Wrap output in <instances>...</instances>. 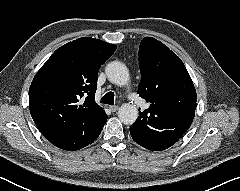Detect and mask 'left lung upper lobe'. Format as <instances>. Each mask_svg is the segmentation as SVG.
Wrapping results in <instances>:
<instances>
[{
	"instance_id": "1",
	"label": "left lung upper lobe",
	"mask_w": 240,
	"mask_h": 191,
	"mask_svg": "<svg viewBox=\"0 0 240 191\" xmlns=\"http://www.w3.org/2000/svg\"><path fill=\"white\" fill-rule=\"evenodd\" d=\"M138 54V94L150 104L141 112L146 117L145 124L171 129L178 138L182 137L192 124L197 101L187 69L173 51L152 37L143 39Z\"/></svg>"
}]
</instances>
